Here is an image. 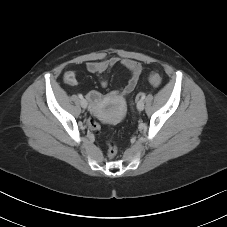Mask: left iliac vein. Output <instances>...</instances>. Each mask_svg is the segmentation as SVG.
<instances>
[{
	"instance_id": "obj_1",
	"label": "left iliac vein",
	"mask_w": 227,
	"mask_h": 227,
	"mask_svg": "<svg viewBox=\"0 0 227 227\" xmlns=\"http://www.w3.org/2000/svg\"><path fill=\"white\" fill-rule=\"evenodd\" d=\"M144 106V101L142 99L137 102V109L139 111H142L144 109Z\"/></svg>"
}]
</instances>
